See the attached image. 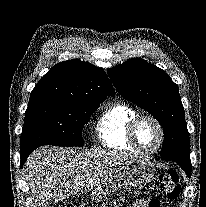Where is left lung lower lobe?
<instances>
[{
	"mask_svg": "<svg viewBox=\"0 0 206 207\" xmlns=\"http://www.w3.org/2000/svg\"><path fill=\"white\" fill-rule=\"evenodd\" d=\"M180 166H181V167L183 168V170L186 172V174L188 175V177H190L191 172H188L185 166H183V165H180Z\"/></svg>",
	"mask_w": 206,
	"mask_h": 207,
	"instance_id": "1",
	"label": "left lung lower lobe"
}]
</instances>
